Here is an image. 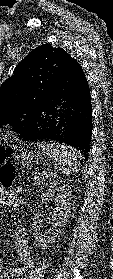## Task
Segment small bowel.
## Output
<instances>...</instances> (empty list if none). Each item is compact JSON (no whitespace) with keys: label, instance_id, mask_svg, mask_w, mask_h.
I'll return each mask as SVG.
<instances>
[{"label":"small bowel","instance_id":"1","mask_svg":"<svg viewBox=\"0 0 113 279\" xmlns=\"http://www.w3.org/2000/svg\"><path fill=\"white\" fill-rule=\"evenodd\" d=\"M7 204L11 206H19L20 200L15 195H9L0 191V205ZM14 245L18 258L24 263V267H12L3 270L0 262L1 279H23L26 271L34 267V261L29 252V237L21 229L17 228L14 232Z\"/></svg>","mask_w":113,"mask_h":279}]
</instances>
